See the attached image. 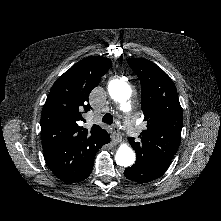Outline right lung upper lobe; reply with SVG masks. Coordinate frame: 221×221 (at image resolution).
<instances>
[{"mask_svg":"<svg viewBox=\"0 0 221 221\" xmlns=\"http://www.w3.org/2000/svg\"><path fill=\"white\" fill-rule=\"evenodd\" d=\"M110 67L108 58H84L56 80L44 104L40 123L45 158L54 175L68 184L81 177L90 159L110 141L98 125L90 130L81 126L83 111L91 109L89 94Z\"/></svg>","mask_w":221,"mask_h":221,"instance_id":"1","label":"right lung upper lobe"}]
</instances>
